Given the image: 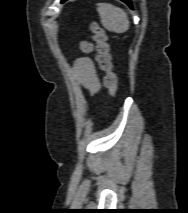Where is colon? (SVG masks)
<instances>
[{"label":"colon","instance_id":"1","mask_svg":"<svg viewBox=\"0 0 188 213\" xmlns=\"http://www.w3.org/2000/svg\"><path fill=\"white\" fill-rule=\"evenodd\" d=\"M91 30L97 49L96 61L104 74L105 86L112 95H115L118 91V79L116 73L112 69L107 34L96 23L92 24Z\"/></svg>","mask_w":188,"mask_h":213}]
</instances>
